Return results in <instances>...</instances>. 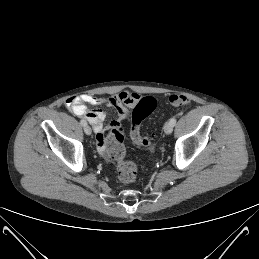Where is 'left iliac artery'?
Returning <instances> with one entry per match:
<instances>
[{"instance_id": "obj_1", "label": "left iliac artery", "mask_w": 259, "mask_h": 259, "mask_svg": "<svg viewBox=\"0 0 259 259\" xmlns=\"http://www.w3.org/2000/svg\"><path fill=\"white\" fill-rule=\"evenodd\" d=\"M170 123L174 126L176 124V118L175 117L171 118Z\"/></svg>"}]
</instances>
